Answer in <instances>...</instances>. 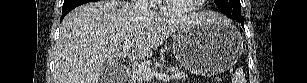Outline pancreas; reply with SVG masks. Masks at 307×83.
<instances>
[{
	"instance_id": "1",
	"label": "pancreas",
	"mask_w": 307,
	"mask_h": 83,
	"mask_svg": "<svg viewBox=\"0 0 307 83\" xmlns=\"http://www.w3.org/2000/svg\"><path fill=\"white\" fill-rule=\"evenodd\" d=\"M165 74L169 75L172 80L186 79L188 77V75L181 71L179 68H168ZM145 80L146 79L142 76L141 73L136 76V83H145Z\"/></svg>"
}]
</instances>
